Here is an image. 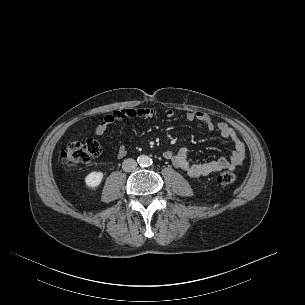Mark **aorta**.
Segmentation results:
<instances>
[{
  "instance_id": "1",
  "label": "aorta",
  "mask_w": 305,
  "mask_h": 305,
  "mask_svg": "<svg viewBox=\"0 0 305 305\" xmlns=\"http://www.w3.org/2000/svg\"><path fill=\"white\" fill-rule=\"evenodd\" d=\"M140 166H148L151 163V159L146 155H140L137 159Z\"/></svg>"
}]
</instances>
